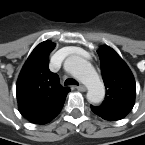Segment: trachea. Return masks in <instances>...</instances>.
I'll use <instances>...</instances> for the list:
<instances>
[{
    "label": "trachea",
    "instance_id": "obj_1",
    "mask_svg": "<svg viewBox=\"0 0 145 145\" xmlns=\"http://www.w3.org/2000/svg\"><path fill=\"white\" fill-rule=\"evenodd\" d=\"M64 85H79V84H78V82H77L76 80H74V79H72V78H68V79L65 81Z\"/></svg>",
    "mask_w": 145,
    "mask_h": 145
}]
</instances>
